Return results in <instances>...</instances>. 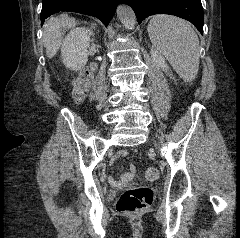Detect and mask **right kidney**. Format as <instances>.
<instances>
[{
    "mask_svg": "<svg viewBox=\"0 0 240 238\" xmlns=\"http://www.w3.org/2000/svg\"><path fill=\"white\" fill-rule=\"evenodd\" d=\"M93 32L90 29L75 28L71 30L61 46L63 64L67 69L78 71L88 62V48Z\"/></svg>",
    "mask_w": 240,
    "mask_h": 238,
    "instance_id": "1",
    "label": "right kidney"
}]
</instances>
